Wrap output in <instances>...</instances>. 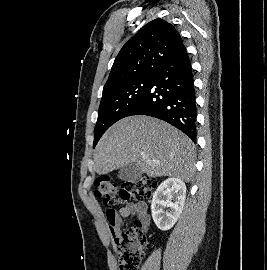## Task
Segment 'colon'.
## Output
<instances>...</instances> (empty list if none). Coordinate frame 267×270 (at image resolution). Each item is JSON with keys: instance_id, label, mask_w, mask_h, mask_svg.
<instances>
[{"instance_id": "colon-1", "label": "colon", "mask_w": 267, "mask_h": 270, "mask_svg": "<svg viewBox=\"0 0 267 270\" xmlns=\"http://www.w3.org/2000/svg\"><path fill=\"white\" fill-rule=\"evenodd\" d=\"M157 181L142 177L118 186L107 176H98L94 181L95 195L101 199L108 213H114L117 199L142 201L151 198ZM120 270H139L145 251V235L139 222L135 226L114 235Z\"/></svg>"}]
</instances>
